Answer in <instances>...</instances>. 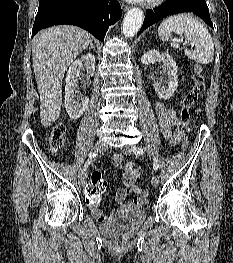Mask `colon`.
Listing matches in <instances>:
<instances>
[{"mask_svg": "<svg viewBox=\"0 0 233 263\" xmlns=\"http://www.w3.org/2000/svg\"><path fill=\"white\" fill-rule=\"evenodd\" d=\"M205 89V80L200 66H196L193 75V86L185 95L182 108L179 112V120L181 122V132L183 136V147L187 146V138L189 134L190 109L197 103L199 97ZM66 126L63 123L56 124L51 134L48 137V146L53 153L59 152L65 146ZM129 168H131L129 166ZM104 169H93L89 185L86 186L85 202H88L87 207L93 208L95 202H98L106 190V182L103 179ZM148 191L144 190L141 193L140 200L146 204Z\"/></svg>", "mask_w": 233, "mask_h": 263, "instance_id": "1", "label": "colon"}]
</instances>
